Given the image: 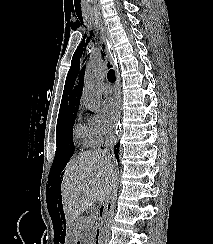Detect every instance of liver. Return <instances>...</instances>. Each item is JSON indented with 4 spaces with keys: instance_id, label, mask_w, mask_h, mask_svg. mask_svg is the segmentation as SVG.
<instances>
[{
    "instance_id": "6515ba94",
    "label": "liver",
    "mask_w": 213,
    "mask_h": 244,
    "mask_svg": "<svg viewBox=\"0 0 213 244\" xmlns=\"http://www.w3.org/2000/svg\"><path fill=\"white\" fill-rule=\"evenodd\" d=\"M114 163L108 151L82 153L65 168L61 197L69 230H77L75 221L95 201H105L111 195ZM86 222L87 218L81 219Z\"/></svg>"
}]
</instances>
